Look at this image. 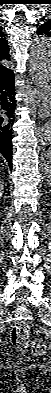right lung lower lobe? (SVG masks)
I'll return each mask as SVG.
<instances>
[{"instance_id":"obj_1","label":"right lung lower lobe","mask_w":51,"mask_h":393,"mask_svg":"<svg viewBox=\"0 0 51 393\" xmlns=\"http://www.w3.org/2000/svg\"><path fill=\"white\" fill-rule=\"evenodd\" d=\"M14 74L0 78V154L7 160L12 169V125L15 121L16 109L15 92L13 88Z\"/></svg>"}]
</instances>
